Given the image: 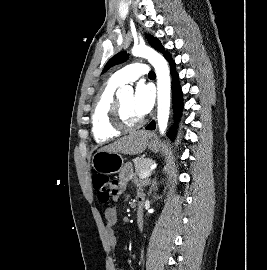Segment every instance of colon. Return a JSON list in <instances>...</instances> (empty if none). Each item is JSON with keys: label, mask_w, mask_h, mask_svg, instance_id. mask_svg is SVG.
Wrapping results in <instances>:
<instances>
[{"label": "colon", "mask_w": 267, "mask_h": 270, "mask_svg": "<svg viewBox=\"0 0 267 270\" xmlns=\"http://www.w3.org/2000/svg\"><path fill=\"white\" fill-rule=\"evenodd\" d=\"M93 186L99 201L103 204L110 202L121 192L120 181L105 174H96L93 177Z\"/></svg>", "instance_id": "obj_1"}]
</instances>
